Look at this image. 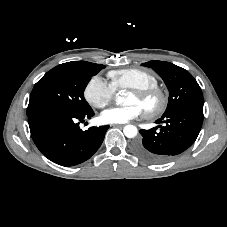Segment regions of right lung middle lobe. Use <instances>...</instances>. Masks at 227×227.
<instances>
[{"label": "right lung middle lobe", "instance_id": "obj_1", "mask_svg": "<svg viewBox=\"0 0 227 227\" xmlns=\"http://www.w3.org/2000/svg\"><path fill=\"white\" fill-rule=\"evenodd\" d=\"M103 67L86 61H72L54 67L35 84L27 115L44 109L68 112L91 109L83 92L87 80Z\"/></svg>", "mask_w": 227, "mask_h": 227}]
</instances>
